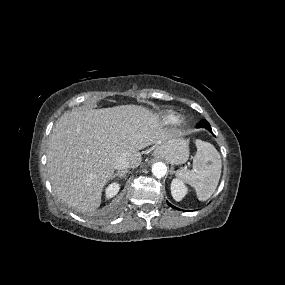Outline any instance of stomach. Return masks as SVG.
I'll return each instance as SVG.
<instances>
[{"label":"stomach","mask_w":285,"mask_h":285,"mask_svg":"<svg viewBox=\"0 0 285 285\" xmlns=\"http://www.w3.org/2000/svg\"><path fill=\"white\" fill-rule=\"evenodd\" d=\"M153 155L163 158L172 165H181L189 158L188 142L175 136L155 146Z\"/></svg>","instance_id":"stomach-1"}]
</instances>
